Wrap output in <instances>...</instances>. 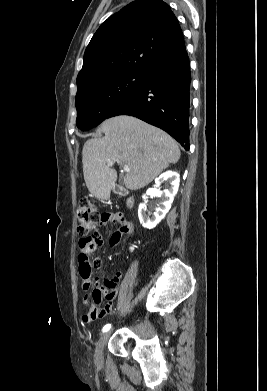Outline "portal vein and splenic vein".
Instances as JSON below:
<instances>
[{"label":"portal vein and splenic vein","mask_w":267,"mask_h":391,"mask_svg":"<svg viewBox=\"0 0 267 391\" xmlns=\"http://www.w3.org/2000/svg\"><path fill=\"white\" fill-rule=\"evenodd\" d=\"M113 163H114V162L111 161V160L108 161V165H109V166H112ZM123 169H124V171H129V170H130L129 167H128V165H124V166H123Z\"/></svg>","instance_id":"portal-vein-and-splenic-vein-1"}]
</instances>
